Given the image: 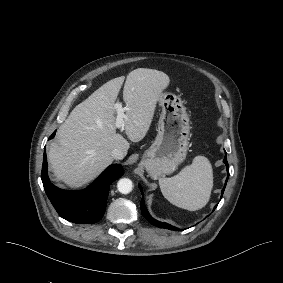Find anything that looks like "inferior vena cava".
Masks as SVG:
<instances>
[{
    "label": "inferior vena cava",
    "instance_id": "1",
    "mask_svg": "<svg viewBox=\"0 0 283 283\" xmlns=\"http://www.w3.org/2000/svg\"><path fill=\"white\" fill-rule=\"evenodd\" d=\"M111 155L114 160H122L125 157V154L119 149L112 150Z\"/></svg>",
    "mask_w": 283,
    "mask_h": 283
}]
</instances>
